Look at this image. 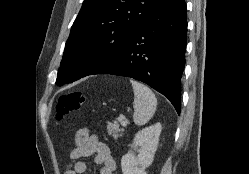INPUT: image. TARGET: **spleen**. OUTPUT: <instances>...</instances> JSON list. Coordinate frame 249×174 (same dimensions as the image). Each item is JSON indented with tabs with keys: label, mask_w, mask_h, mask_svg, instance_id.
<instances>
[{
	"label": "spleen",
	"mask_w": 249,
	"mask_h": 174,
	"mask_svg": "<svg viewBox=\"0 0 249 174\" xmlns=\"http://www.w3.org/2000/svg\"><path fill=\"white\" fill-rule=\"evenodd\" d=\"M134 92V115L136 125L146 124L154 115L157 107V99L154 93L144 84L130 81Z\"/></svg>",
	"instance_id": "1"
}]
</instances>
